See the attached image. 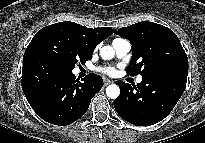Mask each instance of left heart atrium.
<instances>
[{
    "instance_id": "obj_1",
    "label": "left heart atrium",
    "mask_w": 205,
    "mask_h": 143,
    "mask_svg": "<svg viewBox=\"0 0 205 143\" xmlns=\"http://www.w3.org/2000/svg\"><path fill=\"white\" fill-rule=\"evenodd\" d=\"M102 71L108 75H112L115 72L114 68H112V67L104 68V69H102Z\"/></svg>"
}]
</instances>
